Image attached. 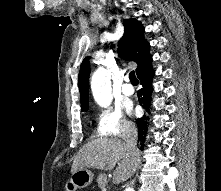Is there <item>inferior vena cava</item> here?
Instances as JSON below:
<instances>
[{
	"label": "inferior vena cava",
	"mask_w": 221,
	"mask_h": 191,
	"mask_svg": "<svg viewBox=\"0 0 221 191\" xmlns=\"http://www.w3.org/2000/svg\"><path fill=\"white\" fill-rule=\"evenodd\" d=\"M137 130L135 127H130L126 130L124 136V142L129 150L130 155L135 157L139 161L140 152L137 148Z\"/></svg>",
	"instance_id": "obj_1"
}]
</instances>
